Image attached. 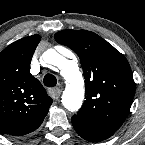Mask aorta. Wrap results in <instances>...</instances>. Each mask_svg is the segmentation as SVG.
<instances>
[{
    "label": "aorta",
    "mask_w": 145,
    "mask_h": 145,
    "mask_svg": "<svg viewBox=\"0 0 145 145\" xmlns=\"http://www.w3.org/2000/svg\"><path fill=\"white\" fill-rule=\"evenodd\" d=\"M46 61L48 64L58 67L66 80L67 86L62 95L63 106L72 112L79 110L84 97V84L78 67L53 49L46 52Z\"/></svg>",
    "instance_id": "1"
}]
</instances>
